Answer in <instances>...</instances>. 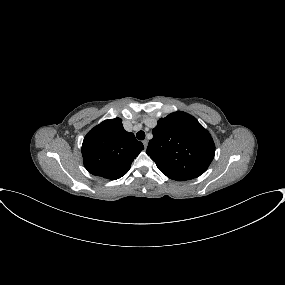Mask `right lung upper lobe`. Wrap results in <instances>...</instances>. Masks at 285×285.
<instances>
[{"label":"right lung upper lobe","instance_id":"cb5924a9","mask_svg":"<svg viewBox=\"0 0 285 285\" xmlns=\"http://www.w3.org/2000/svg\"><path fill=\"white\" fill-rule=\"evenodd\" d=\"M143 149L134 134L124 130L120 118L105 120L83 140L84 166L93 175L116 180L128 172Z\"/></svg>","mask_w":285,"mask_h":285}]
</instances>
